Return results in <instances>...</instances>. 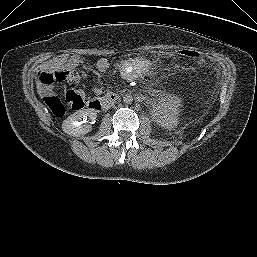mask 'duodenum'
I'll return each instance as SVG.
<instances>
[{
    "label": "duodenum",
    "mask_w": 257,
    "mask_h": 257,
    "mask_svg": "<svg viewBox=\"0 0 257 257\" xmlns=\"http://www.w3.org/2000/svg\"><path fill=\"white\" fill-rule=\"evenodd\" d=\"M118 98L119 96L117 93L109 92L101 97L88 101L87 108L91 111L98 112L102 109L111 107L118 100Z\"/></svg>",
    "instance_id": "410a0bca"
}]
</instances>
